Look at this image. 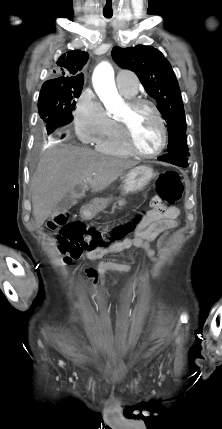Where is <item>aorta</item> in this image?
<instances>
[{
	"label": "aorta",
	"mask_w": 222,
	"mask_h": 429,
	"mask_svg": "<svg viewBox=\"0 0 222 429\" xmlns=\"http://www.w3.org/2000/svg\"><path fill=\"white\" fill-rule=\"evenodd\" d=\"M93 86L106 110L110 113L122 105V98L117 92L114 81V70L108 62L100 63L93 74Z\"/></svg>",
	"instance_id": "obj_1"
}]
</instances>
